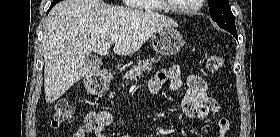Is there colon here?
I'll use <instances>...</instances> for the list:
<instances>
[{
  "instance_id": "5ec220e1",
  "label": "colon",
  "mask_w": 280,
  "mask_h": 137,
  "mask_svg": "<svg viewBox=\"0 0 280 137\" xmlns=\"http://www.w3.org/2000/svg\"><path fill=\"white\" fill-rule=\"evenodd\" d=\"M225 67V59L221 54H211L206 60V70L210 74H215L223 70ZM73 116V108L65 99H59L54 105V114L52 118L53 126H61ZM94 123V119L90 121ZM230 125L224 124L219 126V136H225Z\"/></svg>"
}]
</instances>
